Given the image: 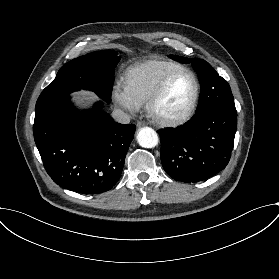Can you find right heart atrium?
Returning <instances> with one entry per match:
<instances>
[{
	"label": "right heart atrium",
	"mask_w": 279,
	"mask_h": 279,
	"mask_svg": "<svg viewBox=\"0 0 279 279\" xmlns=\"http://www.w3.org/2000/svg\"><path fill=\"white\" fill-rule=\"evenodd\" d=\"M114 103L130 113L138 112L145 101L128 89L125 84L114 85L111 91Z\"/></svg>",
	"instance_id": "1"
}]
</instances>
